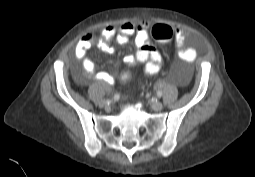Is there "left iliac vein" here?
<instances>
[{
	"label": "left iliac vein",
	"instance_id": "1",
	"mask_svg": "<svg viewBox=\"0 0 255 177\" xmlns=\"http://www.w3.org/2000/svg\"><path fill=\"white\" fill-rule=\"evenodd\" d=\"M152 108L155 110V111H160L162 110L163 108V104L161 102H154L152 104Z\"/></svg>",
	"mask_w": 255,
	"mask_h": 177
}]
</instances>
